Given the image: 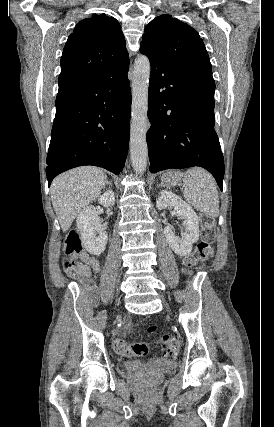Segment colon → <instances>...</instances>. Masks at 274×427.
I'll list each match as a JSON object with an SVG mask.
<instances>
[{"label":"colon","mask_w":274,"mask_h":427,"mask_svg":"<svg viewBox=\"0 0 274 427\" xmlns=\"http://www.w3.org/2000/svg\"><path fill=\"white\" fill-rule=\"evenodd\" d=\"M202 225L201 239L196 244L194 252L187 258V265L190 267L196 265L198 261L207 260L208 254H213V244L216 233L214 220L209 216H204ZM81 249L82 246L78 234L74 232L69 233L63 246V251L66 256L63 262V269L66 273L74 276L79 275L81 265L77 256ZM156 330L157 327L155 325L146 327V331L149 333L155 332ZM163 340V353L166 356H174L180 347L179 338L163 335ZM114 348L117 353L123 356H147L149 352V347L145 342L131 343L123 339L116 340ZM160 387L161 382L155 381L154 387L149 388V393L155 394L156 388Z\"/></svg>","instance_id":"colon-1"}]
</instances>
